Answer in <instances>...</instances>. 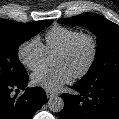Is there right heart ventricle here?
<instances>
[{"label":"right heart ventricle","mask_w":119,"mask_h":119,"mask_svg":"<svg viewBox=\"0 0 119 119\" xmlns=\"http://www.w3.org/2000/svg\"><path fill=\"white\" fill-rule=\"evenodd\" d=\"M80 31L64 26H55L45 35V48L48 55L58 54L64 49Z\"/></svg>","instance_id":"1"}]
</instances>
